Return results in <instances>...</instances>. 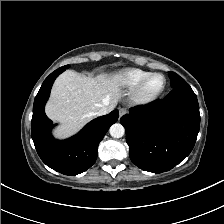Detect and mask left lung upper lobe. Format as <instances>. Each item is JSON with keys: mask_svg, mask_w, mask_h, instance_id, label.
Masks as SVG:
<instances>
[{"mask_svg": "<svg viewBox=\"0 0 224 224\" xmlns=\"http://www.w3.org/2000/svg\"><path fill=\"white\" fill-rule=\"evenodd\" d=\"M169 77H170V82H171L172 88H175L177 86H180V85L186 83V81L184 79H182L178 74H176L174 72H169Z\"/></svg>", "mask_w": 224, "mask_h": 224, "instance_id": "obj_1", "label": "left lung upper lobe"}]
</instances>
